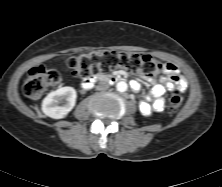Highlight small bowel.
Returning <instances> with one entry per match:
<instances>
[{"label":"small bowel","mask_w":222,"mask_h":187,"mask_svg":"<svg viewBox=\"0 0 222 187\" xmlns=\"http://www.w3.org/2000/svg\"><path fill=\"white\" fill-rule=\"evenodd\" d=\"M164 73L159 77L144 76L143 78L151 85V89L147 93L146 100L141 101L139 108L144 116H151L153 113L161 112L165 107V101L163 95L166 89L177 87L180 90L187 88L186 79L179 74L177 66L172 63H166L164 65ZM135 91L140 90V85L133 84Z\"/></svg>","instance_id":"small-bowel-1"}]
</instances>
